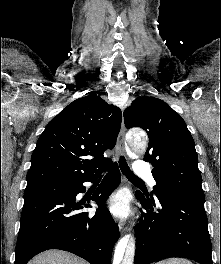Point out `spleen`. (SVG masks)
<instances>
[{
	"mask_svg": "<svg viewBox=\"0 0 221 264\" xmlns=\"http://www.w3.org/2000/svg\"><path fill=\"white\" fill-rule=\"evenodd\" d=\"M156 264H193V263L183 258H170V259L159 261Z\"/></svg>",
	"mask_w": 221,
	"mask_h": 264,
	"instance_id": "1",
	"label": "spleen"
}]
</instances>
